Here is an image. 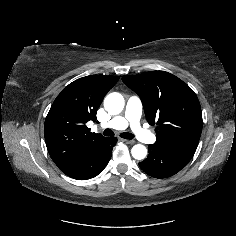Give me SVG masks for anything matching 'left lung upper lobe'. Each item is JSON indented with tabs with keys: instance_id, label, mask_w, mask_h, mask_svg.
Returning a JSON list of instances; mask_svg holds the SVG:
<instances>
[{
	"instance_id": "obj_1",
	"label": "left lung upper lobe",
	"mask_w": 236,
	"mask_h": 236,
	"mask_svg": "<svg viewBox=\"0 0 236 236\" xmlns=\"http://www.w3.org/2000/svg\"><path fill=\"white\" fill-rule=\"evenodd\" d=\"M122 80L141 98L148 123L157 125L154 145L197 148L202 131L201 106L186 83L165 71L126 75Z\"/></svg>"
}]
</instances>
